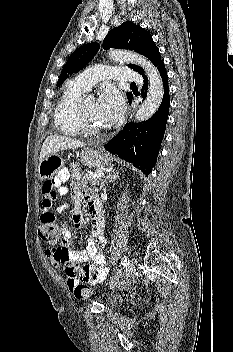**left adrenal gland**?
Masks as SVG:
<instances>
[{"label": "left adrenal gland", "instance_id": "a2214340", "mask_svg": "<svg viewBox=\"0 0 233 352\" xmlns=\"http://www.w3.org/2000/svg\"><path fill=\"white\" fill-rule=\"evenodd\" d=\"M118 177H119V173L115 172V170H112L111 172L107 173L101 182L100 189H102L105 186V184H107L108 182L115 181Z\"/></svg>", "mask_w": 233, "mask_h": 352}]
</instances>
